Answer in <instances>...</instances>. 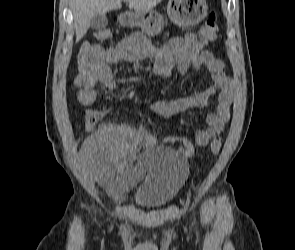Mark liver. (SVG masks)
<instances>
[{
    "instance_id": "1",
    "label": "liver",
    "mask_w": 295,
    "mask_h": 250,
    "mask_svg": "<svg viewBox=\"0 0 295 250\" xmlns=\"http://www.w3.org/2000/svg\"><path fill=\"white\" fill-rule=\"evenodd\" d=\"M122 2H128L129 8L135 11L149 10L156 7L162 0H72L76 42L87 33L91 19L96 15L106 14L122 8Z\"/></svg>"
}]
</instances>
